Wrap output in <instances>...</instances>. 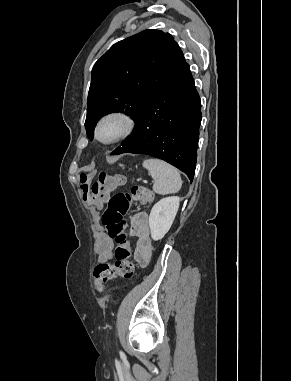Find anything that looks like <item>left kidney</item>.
I'll return each instance as SVG.
<instances>
[{"instance_id": "left-kidney-1", "label": "left kidney", "mask_w": 291, "mask_h": 381, "mask_svg": "<svg viewBox=\"0 0 291 381\" xmlns=\"http://www.w3.org/2000/svg\"><path fill=\"white\" fill-rule=\"evenodd\" d=\"M180 198L169 196L158 201L149 216V227L153 240H161L171 228L179 208Z\"/></svg>"}]
</instances>
